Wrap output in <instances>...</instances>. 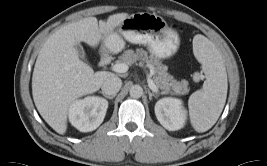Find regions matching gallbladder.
<instances>
[{
	"instance_id": "1",
	"label": "gallbladder",
	"mask_w": 267,
	"mask_h": 166,
	"mask_svg": "<svg viewBox=\"0 0 267 166\" xmlns=\"http://www.w3.org/2000/svg\"><path fill=\"white\" fill-rule=\"evenodd\" d=\"M75 48H76L78 54L80 55V57H81L85 62H87V59H85V52H84V49H83L82 45H81L80 43H77V44L75 45Z\"/></svg>"
}]
</instances>
